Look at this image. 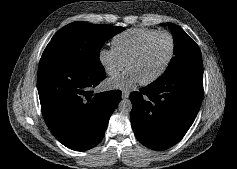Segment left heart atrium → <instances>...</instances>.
Instances as JSON below:
<instances>
[{"label":"left heart atrium","mask_w":237,"mask_h":169,"mask_svg":"<svg viewBox=\"0 0 237 169\" xmlns=\"http://www.w3.org/2000/svg\"><path fill=\"white\" fill-rule=\"evenodd\" d=\"M139 80L135 73L128 70L121 76H118L110 81V85L113 87H130L137 83Z\"/></svg>","instance_id":"left-heart-atrium-1"}]
</instances>
